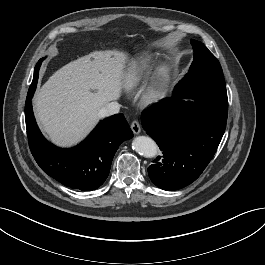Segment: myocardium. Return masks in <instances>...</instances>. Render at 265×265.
Instances as JSON below:
<instances>
[{"mask_svg":"<svg viewBox=\"0 0 265 265\" xmlns=\"http://www.w3.org/2000/svg\"><path fill=\"white\" fill-rule=\"evenodd\" d=\"M169 83V68L166 66L159 67L141 95V105L150 107L158 104L166 96Z\"/></svg>","mask_w":265,"mask_h":265,"instance_id":"1","label":"myocardium"}]
</instances>
